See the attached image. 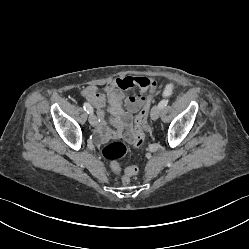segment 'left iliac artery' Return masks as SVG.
<instances>
[{
    "mask_svg": "<svg viewBox=\"0 0 249 249\" xmlns=\"http://www.w3.org/2000/svg\"><path fill=\"white\" fill-rule=\"evenodd\" d=\"M167 103H168V100L166 101V100H162L159 104H158V106L160 107V109H163V108H165L166 106H167Z\"/></svg>",
    "mask_w": 249,
    "mask_h": 249,
    "instance_id": "obj_1",
    "label": "left iliac artery"
}]
</instances>
